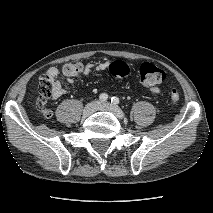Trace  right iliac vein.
Returning <instances> with one entry per match:
<instances>
[{"mask_svg": "<svg viewBox=\"0 0 213 213\" xmlns=\"http://www.w3.org/2000/svg\"><path fill=\"white\" fill-rule=\"evenodd\" d=\"M100 103L98 101H93L87 104L83 110V116L88 117L96 112L99 108Z\"/></svg>", "mask_w": 213, "mask_h": 213, "instance_id": "obj_1", "label": "right iliac vein"}]
</instances>
